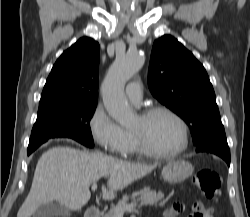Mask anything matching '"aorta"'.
Instances as JSON below:
<instances>
[{
  "label": "aorta",
  "instance_id": "aorta-1",
  "mask_svg": "<svg viewBox=\"0 0 250 217\" xmlns=\"http://www.w3.org/2000/svg\"><path fill=\"white\" fill-rule=\"evenodd\" d=\"M143 63L144 58L139 52L118 55L102 83L104 106L109 115L121 125H129L135 118L125 97L124 87L141 69Z\"/></svg>",
  "mask_w": 250,
  "mask_h": 217
}]
</instances>
